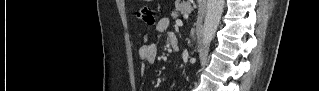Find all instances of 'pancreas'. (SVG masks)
I'll list each match as a JSON object with an SVG mask.
<instances>
[{
  "label": "pancreas",
  "mask_w": 319,
  "mask_h": 91,
  "mask_svg": "<svg viewBox=\"0 0 319 91\" xmlns=\"http://www.w3.org/2000/svg\"><path fill=\"white\" fill-rule=\"evenodd\" d=\"M192 7L188 4H180L176 7V12L172 14L173 18H177L179 16V12L182 14L190 13Z\"/></svg>",
  "instance_id": "pancreas-1"
}]
</instances>
